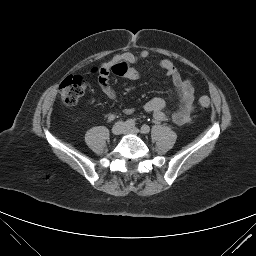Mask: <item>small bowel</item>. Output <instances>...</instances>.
<instances>
[{
  "label": "small bowel",
  "mask_w": 256,
  "mask_h": 256,
  "mask_svg": "<svg viewBox=\"0 0 256 256\" xmlns=\"http://www.w3.org/2000/svg\"><path fill=\"white\" fill-rule=\"evenodd\" d=\"M149 52L142 50L137 54L130 52L115 55L110 60L105 61L99 68V84L103 92L110 98L116 99L117 94L111 87L109 77L111 75L125 77L129 80L140 79V73L133 66L135 63L147 59ZM161 69L172 81L179 103L178 109L168 115L165 111V101L160 97H152L144 104V110L152 115L155 121H170L174 125L182 126L191 122L194 112V87L192 82L183 77L179 70L169 60L160 62ZM133 109H125L126 114L133 113Z\"/></svg>",
  "instance_id": "1"
}]
</instances>
